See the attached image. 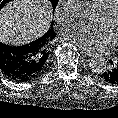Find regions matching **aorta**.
I'll return each mask as SVG.
<instances>
[{
	"label": "aorta",
	"instance_id": "1",
	"mask_svg": "<svg viewBox=\"0 0 118 118\" xmlns=\"http://www.w3.org/2000/svg\"><path fill=\"white\" fill-rule=\"evenodd\" d=\"M76 18L82 21H90L93 15L91 5L84 0H79L73 8ZM90 68L96 73H102L107 68V61L101 55L94 56L90 61Z\"/></svg>",
	"mask_w": 118,
	"mask_h": 118
}]
</instances>
